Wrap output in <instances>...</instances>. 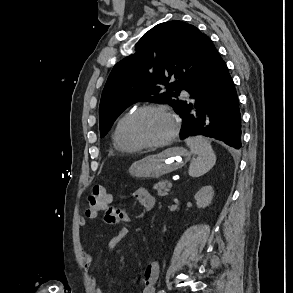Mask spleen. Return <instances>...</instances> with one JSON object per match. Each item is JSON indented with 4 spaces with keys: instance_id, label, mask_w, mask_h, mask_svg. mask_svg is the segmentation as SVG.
<instances>
[{
    "instance_id": "spleen-1",
    "label": "spleen",
    "mask_w": 293,
    "mask_h": 293,
    "mask_svg": "<svg viewBox=\"0 0 293 293\" xmlns=\"http://www.w3.org/2000/svg\"><path fill=\"white\" fill-rule=\"evenodd\" d=\"M186 144L196 156L189 167V175L199 177L206 174L216 163V155L211 144L202 136L189 137Z\"/></svg>"
}]
</instances>
